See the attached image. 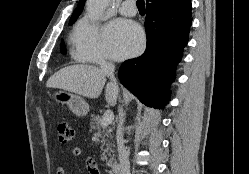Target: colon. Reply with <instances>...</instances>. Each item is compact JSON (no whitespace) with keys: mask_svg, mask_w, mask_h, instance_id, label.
Returning a JSON list of instances; mask_svg holds the SVG:
<instances>
[{"mask_svg":"<svg viewBox=\"0 0 249 174\" xmlns=\"http://www.w3.org/2000/svg\"><path fill=\"white\" fill-rule=\"evenodd\" d=\"M56 131L58 135V140L61 144L67 145L72 142L74 138V131L67 121H58L56 124Z\"/></svg>","mask_w":249,"mask_h":174,"instance_id":"obj_1","label":"colon"}]
</instances>
